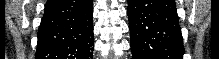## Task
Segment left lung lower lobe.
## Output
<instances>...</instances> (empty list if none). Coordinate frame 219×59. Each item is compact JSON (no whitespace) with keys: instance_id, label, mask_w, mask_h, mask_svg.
<instances>
[{"instance_id":"0a47b994","label":"left lung lower lobe","mask_w":219,"mask_h":59,"mask_svg":"<svg viewBox=\"0 0 219 59\" xmlns=\"http://www.w3.org/2000/svg\"><path fill=\"white\" fill-rule=\"evenodd\" d=\"M132 59H183L174 0H128Z\"/></svg>"}]
</instances>
